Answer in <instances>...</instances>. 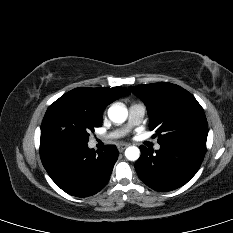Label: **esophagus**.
Segmentation results:
<instances>
[{"label":"esophagus","instance_id":"esophagus-1","mask_svg":"<svg viewBox=\"0 0 233 233\" xmlns=\"http://www.w3.org/2000/svg\"><path fill=\"white\" fill-rule=\"evenodd\" d=\"M128 147V144H119L118 145V150L119 152L124 151Z\"/></svg>","mask_w":233,"mask_h":233}]
</instances>
